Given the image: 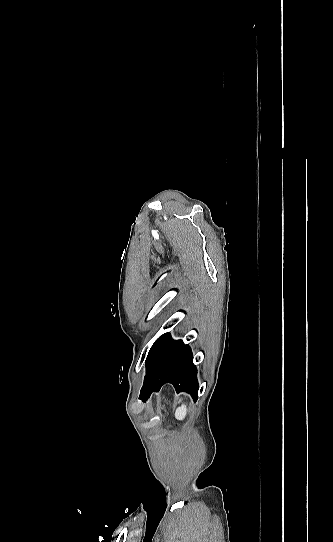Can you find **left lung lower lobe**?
<instances>
[{"instance_id": "left-lung-lower-lobe-1", "label": "left lung lower lobe", "mask_w": 333, "mask_h": 542, "mask_svg": "<svg viewBox=\"0 0 333 542\" xmlns=\"http://www.w3.org/2000/svg\"><path fill=\"white\" fill-rule=\"evenodd\" d=\"M192 361L189 345L182 340H173L169 332L160 336L146 359V377L140 399L146 400L153 391L157 392L165 383H171L177 393L185 391L197 400V369Z\"/></svg>"}]
</instances>
